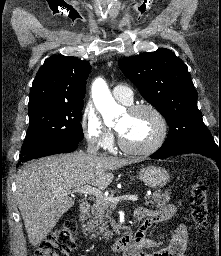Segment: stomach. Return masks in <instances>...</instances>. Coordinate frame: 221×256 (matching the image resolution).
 I'll return each mask as SVG.
<instances>
[{
    "label": "stomach",
    "mask_w": 221,
    "mask_h": 256,
    "mask_svg": "<svg viewBox=\"0 0 221 256\" xmlns=\"http://www.w3.org/2000/svg\"><path fill=\"white\" fill-rule=\"evenodd\" d=\"M139 177L146 186L153 189L162 188L170 179L169 173L166 169L156 166L142 168L139 171Z\"/></svg>",
    "instance_id": "0dacf381"
}]
</instances>
